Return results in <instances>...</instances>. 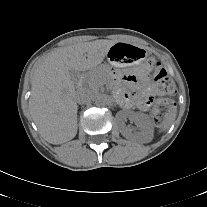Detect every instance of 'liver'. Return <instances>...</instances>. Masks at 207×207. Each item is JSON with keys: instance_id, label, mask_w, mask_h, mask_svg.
<instances>
[{"instance_id": "1", "label": "liver", "mask_w": 207, "mask_h": 207, "mask_svg": "<svg viewBox=\"0 0 207 207\" xmlns=\"http://www.w3.org/2000/svg\"><path fill=\"white\" fill-rule=\"evenodd\" d=\"M113 40H95L61 47L50 53L31 78L29 111L40 135L51 144H62L77 134V102L71 71L99 66Z\"/></svg>"}]
</instances>
